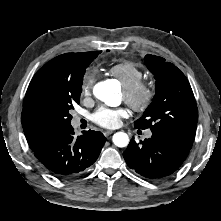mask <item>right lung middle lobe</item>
Returning a JSON list of instances; mask_svg holds the SVG:
<instances>
[{"instance_id": "dd1d6c3e", "label": "right lung middle lobe", "mask_w": 221, "mask_h": 221, "mask_svg": "<svg viewBox=\"0 0 221 221\" xmlns=\"http://www.w3.org/2000/svg\"><path fill=\"white\" fill-rule=\"evenodd\" d=\"M100 53L101 51L87 57L83 63V68L80 72L81 84L85 69ZM81 92V86L69 87L68 84H64L58 90L47 92L42 98L40 106L41 114L57 126L65 127L71 125L72 116L69 112L73 109V104H79Z\"/></svg>"}]
</instances>
